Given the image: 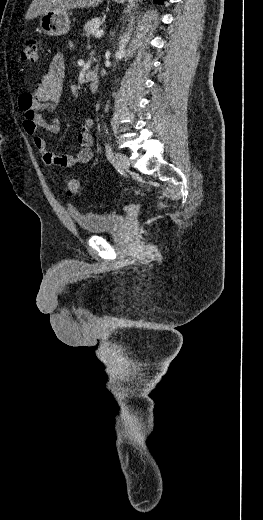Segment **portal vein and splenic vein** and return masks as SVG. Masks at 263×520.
I'll list each match as a JSON object with an SVG mask.
<instances>
[{
	"instance_id": "1",
	"label": "portal vein and splenic vein",
	"mask_w": 263,
	"mask_h": 520,
	"mask_svg": "<svg viewBox=\"0 0 263 520\" xmlns=\"http://www.w3.org/2000/svg\"><path fill=\"white\" fill-rule=\"evenodd\" d=\"M104 31L103 30H98L96 33H95V38H99L103 35Z\"/></svg>"
}]
</instances>
